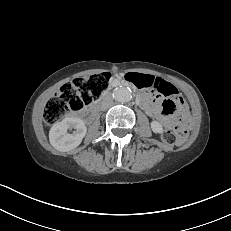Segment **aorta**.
<instances>
[{
	"mask_svg": "<svg viewBox=\"0 0 231 231\" xmlns=\"http://www.w3.org/2000/svg\"><path fill=\"white\" fill-rule=\"evenodd\" d=\"M113 97L118 102L127 103L132 99V91L127 87H118L114 90Z\"/></svg>",
	"mask_w": 231,
	"mask_h": 231,
	"instance_id": "aorta-1",
	"label": "aorta"
}]
</instances>
